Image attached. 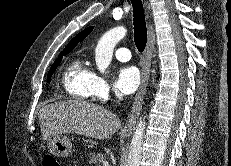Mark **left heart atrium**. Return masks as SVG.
Returning <instances> with one entry per match:
<instances>
[{
  "mask_svg": "<svg viewBox=\"0 0 231 166\" xmlns=\"http://www.w3.org/2000/svg\"><path fill=\"white\" fill-rule=\"evenodd\" d=\"M140 84L139 70L134 66H124L119 69L116 86L123 94L133 93Z\"/></svg>",
  "mask_w": 231,
  "mask_h": 166,
  "instance_id": "obj_1",
  "label": "left heart atrium"
}]
</instances>
